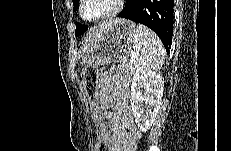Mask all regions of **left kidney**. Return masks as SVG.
<instances>
[{
	"label": "left kidney",
	"mask_w": 231,
	"mask_h": 151,
	"mask_svg": "<svg viewBox=\"0 0 231 151\" xmlns=\"http://www.w3.org/2000/svg\"><path fill=\"white\" fill-rule=\"evenodd\" d=\"M163 89L164 80L159 73L144 67L137 68L131 84L130 104L135 122L142 132L150 129L158 114Z\"/></svg>",
	"instance_id": "1"
}]
</instances>
